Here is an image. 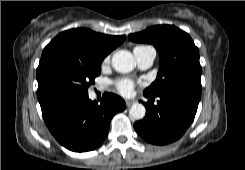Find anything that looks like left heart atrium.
<instances>
[{
    "mask_svg": "<svg viewBox=\"0 0 245 170\" xmlns=\"http://www.w3.org/2000/svg\"><path fill=\"white\" fill-rule=\"evenodd\" d=\"M118 90L123 95H130L133 92L134 83L131 80H122L117 84Z\"/></svg>",
    "mask_w": 245,
    "mask_h": 170,
    "instance_id": "obj_1",
    "label": "left heart atrium"
}]
</instances>
